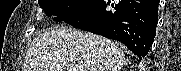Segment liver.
<instances>
[{"instance_id":"6515ba94","label":"liver","mask_w":181,"mask_h":71,"mask_svg":"<svg viewBox=\"0 0 181 71\" xmlns=\"http://www.w3.org/2000/svg\"><path fill=\"white\" fill-rule=\"evenodd\" d=\"M125 65L117 42L64 26L33 40L23 71H121Z\"/></svg>"}]
</instances>
